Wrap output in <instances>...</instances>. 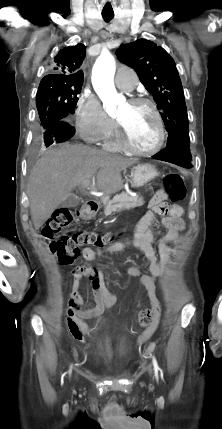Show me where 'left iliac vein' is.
I'll list each match as a JSON object with an SVG mask.
<instances>
[{
	"instance_id": "4c4485c4",
	"label": "left iliac vein",
	"mask_w": 222,
	"mask_h": 429,
	"mask_svg": "<svg viewBox=\"0 0 222 429\" xmlns=\"http://www.w3.org/2000/svg\"><path fill=\"white\" fill-rule=\"evenodd\" d=\"M149 373H151V369H149Z\"/></svg>"
}]
</instances>
